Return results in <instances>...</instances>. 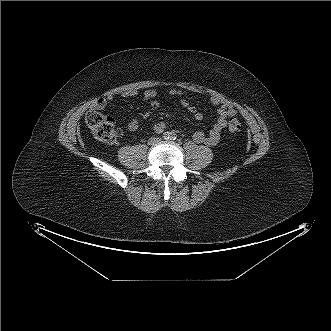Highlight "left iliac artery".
<instances>
[{"instance_id": "44dca946", "label": "left iliac artery", "mask_w": 331, "mask_h": 331, "mask_svg": "<svg viewBox=\"0 0 331 331\" xmlns=\"http://www.w3.org/2000/svg\"><path fill=\"white\" fill-rule=\"evenodd\" d=\"M177 138V135L175 133H171L170 139L175 140Z\"/></svg>"}]
</instances>
